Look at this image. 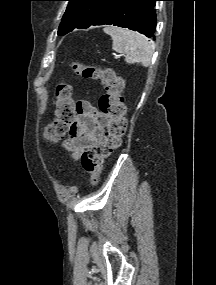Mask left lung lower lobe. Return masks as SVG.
<instances>
[{"instance_id": "obj_1", "label": "left lung lower lobe", "mask_w": 216, "mask_h": 285, "mask_svg": "<svg viewBox=\"0 0 216 285\" xmlns=\"http://www.w3.org/2000/svg\"><path fill=\"white\" fill-rule=\"evenodd\" d=\"M156 1L159 0H113L90 26L115 25L138 31L149 38L154 37Z\"/></svg>"}]
</instances>
